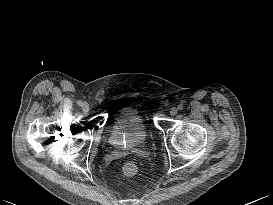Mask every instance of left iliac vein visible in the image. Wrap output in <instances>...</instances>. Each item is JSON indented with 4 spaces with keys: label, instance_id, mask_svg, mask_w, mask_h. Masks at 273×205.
<instances>
[{
    "label": "left iliac vein",
    "instance_id": "4c4485c4",
    "mask_svg": "<svg viewBox=\"0 0 273 205\" xmlns=\"http://www.w3.org/2000/svg\"><path fill=\"white\" fill-rule=\"evenodd\" d=\"M177 113H178L177 108H175V107L171 108L170 114H171L172 116H175Z\"/></svg>",
    "mask_w": 273,
    "mask_h": 205
}]
</instances>
